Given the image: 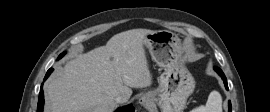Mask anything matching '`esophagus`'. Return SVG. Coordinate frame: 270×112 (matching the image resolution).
<instances>
[{"label":"esophagus","instance_id":"34e87169","mask_svg":"<svg viewBox=\"0 0 270 112\" xmlns=\"http://www.w3.org/2000/svg\"><path fill=\"white\" fill-rule=\"evenodd\" d=\"M138 103L141 105V106H144V107H148L152 104V99L149 95H142L139 100H138Z\"/></svg>","mask_w":270,"mask_h":112}]
</instances>
